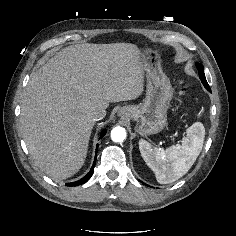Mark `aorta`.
Masks as SVG:
<instances>
[{"label": "aorta", "instance_id": "1", "mask_svg": "<svg viewBox=\"0 0 236 236\" xmlns=\"http://www.w3.org/2000/svg\"><path fill=\"white\" fill-rule=\"evenodd\" d=\"M126 138V130L123 127H115L111 131V139L114 142H123Z\"/></svg>", "mask_w": 236, "mask_h": 236}]
</instances>
